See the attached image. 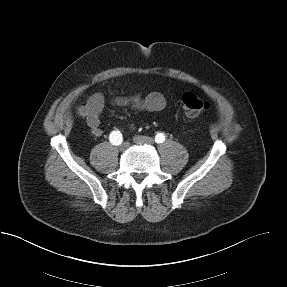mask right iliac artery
I'll list each match as a JSON object with an SVG mask.
<instances>
[{
  "instance_id": "obj_1",
  "label": "right iliac artery",
  "mask_w": 287,
  "mask_h": 287,
  "mask_svg": "<svg viewBox=\"0 0 287 287\" xmlns=\"http://www.w3.org/2000/svg\"><path fill=\"white\" fill-rule=\"evenodd\" d=\"M109 140L113 145H120L123 141V137L120 131L114 130L109 135Z\"/></svg>"
}]
</instances>
